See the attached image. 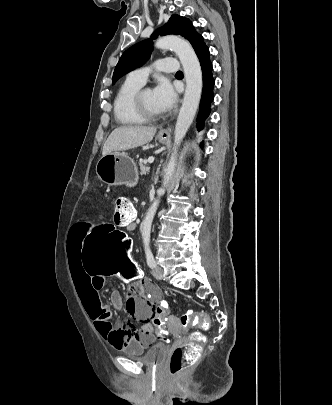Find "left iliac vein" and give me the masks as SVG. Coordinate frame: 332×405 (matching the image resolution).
<instances>
[{
  "label": "left iliac vein",
  "instance_id": "obj_1",
  "mask_svg": "<svg viewBox=\"0 0 332 405\" xmlns=\"http://www.w3.org/2000/svg\"><path fill=\"white\" fill-rule=\"evenodd\" d=\"M152 274L156 279L162 280L164 278V273L161 267L155 266L152 269Z\"/></svg>",
  "mask_w": 332,
  "mask_h": 405
}]
</instances>
